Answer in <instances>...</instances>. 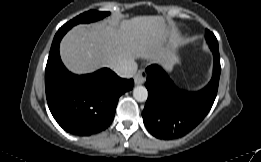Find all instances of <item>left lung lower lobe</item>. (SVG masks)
Listing matches in <instances>:
<instances>
[{
  "instance_id": "left-lung-lower-lobe-1",
  "label": "left lung lower lobe",
  "mask_w": 261,
  "mask_h": 162,
  "mask_svg": "<svg viewBox=\"0 0 261 162\" xmlns=\"http://www.w3.org/2000/svg\"><path fill=\"white\" fill-rule=\"evenodd\" d=\"M214 56L213 76L198 92L178 89L158 65L146 69L148 99L142 112L147 130L159 139L180 138L192 131L208 114L217 95L220 78L218 45L209 44Z\"/></svg>"
}]
</instances>
